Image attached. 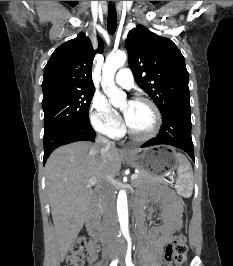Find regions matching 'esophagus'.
Masks as SVG:
<instances>
[{"mask_svg":"<svg viewBox=\"0 0 233 266\" xmlns=\"http://www.w3.org/2000/svg\"><path fill=\"white\" fill-rule=\"evenodd\" d=\"M121 152L124 153V154H129L130 153L129 150H127V149H122Z\"/></svg>","mask_w":233,"mask_h":266,"instance_id":"esophagus-1","label":"esophagus"}]
</instances>
